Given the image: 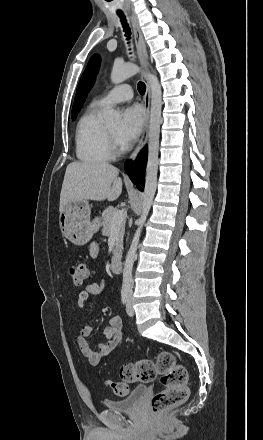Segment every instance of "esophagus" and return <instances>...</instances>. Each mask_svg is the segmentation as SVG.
<instances>
[{
    "mask_svg": "<svg viewBox=\"0 0 263 440\" xmlns=\"http://www.w3.org/2000/svg\"><path fill=\"white\" fill-rule=\"evenodd\" d=\"M131 22H132V28L135 38V45L137 50V55L140 61V64L144 71L149 70V60L148 55L145 47V42L140 30V27L137 23V20L135 17L131 16ZM150 100H151V92H150V84L148 81H146V92L144 95V109H145V122L143 126L142 136L139 140V143L133 153L130 155V160H135L139 152L143 149L145 146L147 139H148V129H149V119H150Z\"/></svg>",
    "mask_w": 263,
    "mask_h": 440,
    "instance_id": "34e87169",
    "label": "esophagus"
}]
</instances>
